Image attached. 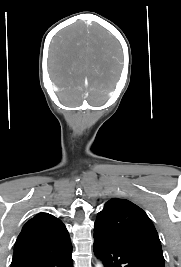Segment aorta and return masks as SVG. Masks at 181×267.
<instances>
[{
	"label": "aorta",
	"mask_w": 181,
	"mask_h": 267,
	"mask_svg": "<svg viewBox=\"0 0 181 267\" xmlns=\"http://www.w3.org/2000/svg\"><path fill=\"white\" fill-rule=\"evenodd\" d=\"M96 267H102V263L101 262H98Z\"/></svg>",
	"instance_id": "1"
}]
</instances>
